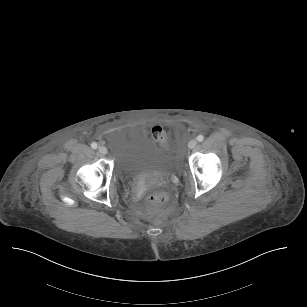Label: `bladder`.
I'll return each instance as SVG.
<instances>
[{"mask_svg":"<svg viewBox=\"0 0 307 307\" xmlns=\"http://www.w3.org/2000/svg\"><path fill=\"white\" fill-rule=\"evenodd\" d=\"M159 166L174 169V155L169 149L149 142L130 146L119 158L120 174L128 180L142 178Z\"/></svg>","mask_w":307,"mask_h":307,"instance_id":"obj_1","label":"bladder"}]
</instances>
